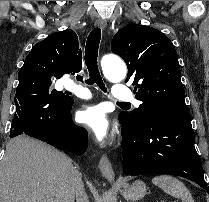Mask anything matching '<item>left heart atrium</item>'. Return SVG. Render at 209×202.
<instances>
[{
    "instance_id": "1",
    "label": "left heart atrium",
    "mask_w": 209,
    "mask_h": 202,
    "mask_svg": "<svg viewBox=\"0 0 209 202\" xmlns=\"http://www.w3.org/2000/svg\"><path fill=\"white\" fill-rule=\"evenodd\" d=\"M76 118L97 140H102L108 135L109 122L100 105L80 109L76 114Z\"/></svg>"
}]
</instances>
